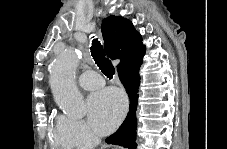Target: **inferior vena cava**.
I'll use <instances>...</instances> for the list:
<instances>
[{
	"label": "inferior vena cava",
	"instance_id": "1",
	"mask_svg": "<svg viewBox=\"0 0 227 149\" xmlns=\"http://www.w3.org/2000/svg\"><path fill=\"white\" fill-rule=\"evenodd\" d=\"M100 141V139H97V142H99Z\"/></svg>",
	"mask_w": 227,
	"mask_h": 149
}]
</instances>
